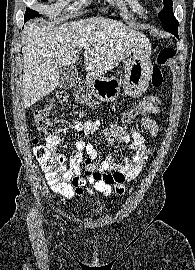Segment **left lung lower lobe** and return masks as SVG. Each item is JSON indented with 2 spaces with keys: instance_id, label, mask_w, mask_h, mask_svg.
Returning <instances> with one entry per match:
<instances>
[{
  "instance_id": "1",
  "label": "left lung lower lobe",
  "mask_w": 195,
  "mask_h": 270,
  "mask_svg": "<svg viewBox=\"0 0 195 270\" xmlns=\"http://www.w3.org/2000/svg\"><path fill=\"white\" fill-rule=\"evenodd\" d=\"M174 35L178 38V33H175Z\"/></svg>"
}]
</instances>
